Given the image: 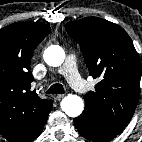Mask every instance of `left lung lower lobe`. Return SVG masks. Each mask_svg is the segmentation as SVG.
Instances as JSON below:
<instances>
[{
	"label": "left lung lower lobe",
	"mask_w": 142,
	"mask_h": 142,
	"mask_svg": "<svg viewBox=\"0 0 142 142\" xmlns=\"http://www.w3.org/2000/svg\"><path fill=\"white\" fill-rule=\"evenodd\" d=\"M74 123L79 133L92 142H108L122 132L106 126L98 116L85 109Z\"/></svg>",
	"instance_id": "left-lung-lower-lobe-1"
}]
</instances>
